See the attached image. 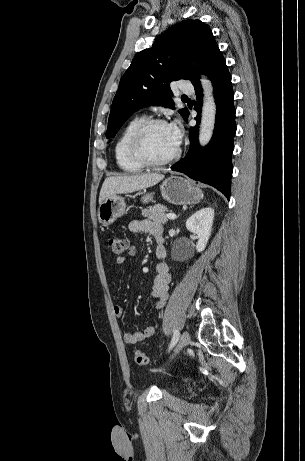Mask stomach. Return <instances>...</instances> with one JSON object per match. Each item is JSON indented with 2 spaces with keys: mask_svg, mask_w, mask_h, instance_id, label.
<instances>
[{
  "mask_svg": "<svg viewBox=\"0 0 305 461\" xmlns=\"http://www.w3.org/2000/svg\"><path fill=\"white\" fill-rule=\"evenodd\" d=\"M163 199L175 205H191L198 203L202 197V191L196 187L190 180L180 176H170L160 185ZM142 201L144 203L152 202L153 196L149 193H143ZM126 212L124 198L114 194L104 200L98 208V220L103 226L111 225L117 218L123 216Z\"/></svg>",
  "mask_w": 305,
  "mask_h": 461,
  "instance_id": "obj_1",
  "label": "stomach"
}]
</instances>
